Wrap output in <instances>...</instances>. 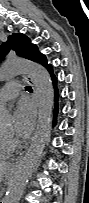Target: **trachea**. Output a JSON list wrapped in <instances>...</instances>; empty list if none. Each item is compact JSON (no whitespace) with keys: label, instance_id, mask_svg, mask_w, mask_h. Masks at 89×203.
<instances>
[{"label":"trachea","instance_id":"obj_1","mask_svg":"<svg viewBox=\"0 0 89 203\" xmlns=\"http://www.w3.org/2000/svg\"><path fill=\"white\" fill-rule=\"evenodd\" d=\"M25 89H26L27 91H32V88H31L30 86H27Z\"/></svg>","mask_w":89,"mask_h":203}]
</instances>
